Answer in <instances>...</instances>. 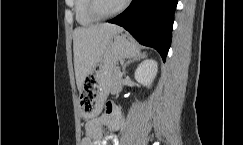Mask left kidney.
<instances>
[{"instance_id":"5707ae66","label":"left kidney","mask_w":243,"mask_h":145,"mask_svg":"<svg viewBox=\"0 0 243 145\" xmlns=\"http://www.w3.org/2000/svg\"><path fill=\"white\" fill-rule=\"evenodd\" d=\"M157 71V62L147 59L138 65L134 77L138 83L149 88L156 77Z\"/></svg>"}]
</instances>
